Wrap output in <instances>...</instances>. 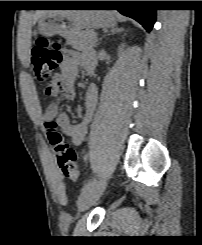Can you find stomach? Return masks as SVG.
Instances as JSON below:
<instances>
[{
	"instance_id": "0dacf381",
	"label": "stomach",
	"mask_w": 202,
	"mask_h": 245,
	"mask_svg": "<svg viewBox=\"0 0 202 245\" xmlns=\"http://www.w3.org/2000/svg\"><path fill=\"white\" fill-rule=\"evenodd\" d=\"M116 25L112 12L106 10H89L72 14L48 11L38 21V31L45 37L60 35L70 39L83 29L109 28Z\"/></svg>"
}]
</instances>
